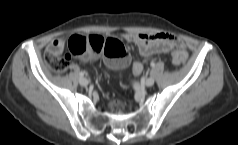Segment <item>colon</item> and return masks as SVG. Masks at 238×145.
<instances>
[{
    "label": "colon",
    "instance_id": "colon-1",
    "mask_svg": "<svg viewBox=\"0 0 238 145\" xmlns=\"http://www.w3.org/2000/svg\"><path fill=\"white\" fill-rule=\"evenodd\" d=\"M71 55L84 59L93 60L99 55H104L109 66L122 68L129 63V54L122 42L115 38H103L97 35L73 36L69 40ZM187 60V54L183 50L172 52V62L175 65H183ZM45 61L56 73H63L69 65L70 55L65 57L45 55ZM115 109L119 108L114 103Z\"/></svg>",
    "mask_w": 238,
    "mask_h": 145
}]
</instances>
